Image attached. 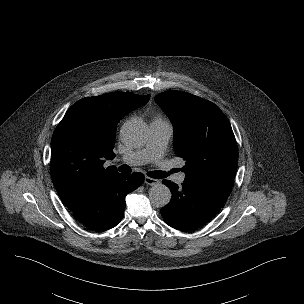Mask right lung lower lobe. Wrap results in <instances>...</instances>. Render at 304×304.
Masks as SVG:
<instances>
[{"instance_id":"98d812e1","label":"right lung lower lobe","mask_w":304,"mask_h":304,"mask_svg":"<svg viewBox=\"0 0 304 304\" xmlns=\"http://www.w3.org/2000/svg\"><path fill=\"white\" fill-rule=\"evenodd\" d=\"M144 182V175L111 173L99 182L91 195L76 209L73 216L94 230H107L121 221L126 195Z\"/></svg>"}]
</instances>
